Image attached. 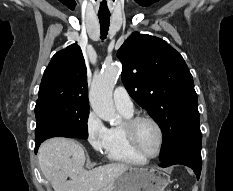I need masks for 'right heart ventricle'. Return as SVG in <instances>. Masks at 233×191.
I'll return each instance as SVG.
<instances>
[{"label":"right heart ventricle","instance_id":"obj_1","mask_svg":"<svg viewBox=\"0 0 233 191\" xmlns=\"http://www.w3.org/2000/svg\"><path fill=\"white\" fill-rule=\"evenodd\" d=\"M119 112L124 117L125 121L133 116V113ZM105 152L110 161L128 164H142L146 162L144 158L139 156L131 148L124 131V124L109 129V140Z\"/></svg>","mask_w":233,"mask_h":191}]
</instances>
